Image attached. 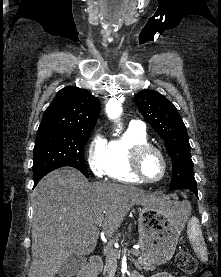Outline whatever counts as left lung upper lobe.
<instances>
[{
  "label": "left lung upper lobe",
  "instance_id": "obj_1",
  "mask_svg": "<svg viewBox=\"0 0 221 277\" xmlns=\"http://www.w3.org/2000/svg\"><path fill=\"white\" fill-rule=\"evenodd\" d=\"M134 99L145 120L165 141L172 159L170 189L196 186L187 130L176 107L165 96L152 90H143Z\"/></svg>",
  "mask_w": 221,
  "mask_h": 277
}]
</instances>
